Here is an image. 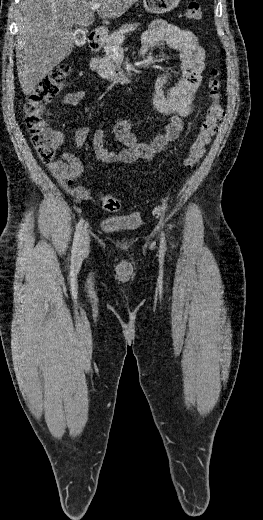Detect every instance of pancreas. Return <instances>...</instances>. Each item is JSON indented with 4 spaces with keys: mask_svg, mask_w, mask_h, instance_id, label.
<instances>
[{
    "mask_svg": "<svg viewBox=\"0 0 263 520\" xmlns=\"http://www.w3.org/2000/svg\"><path fill=\"white\" fill-rule=\"evenodd\" d=\"M139 24H125L110 35H105L102 40L103 56L93 58L91 67L103 78L113 82L120 81V75L116 73L114 65L113 49L121 46L126 35L136 29Z\"/></svg>",
    "mask_w": 263,
    "mask_h": 520,
    "instance_id": "pancreas-1",
    "label": "pancreas"
}]
</instances>
